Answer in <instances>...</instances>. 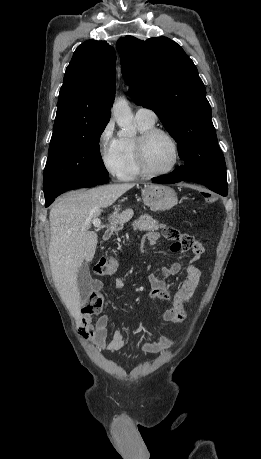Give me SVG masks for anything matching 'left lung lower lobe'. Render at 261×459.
I'll return each instance as SVG.
<instances>
[{
  "label": "left lung lower lobe",
  "instance_id": "left-lung-lower-lobe-1",
  "mask_svg": "<svg viewBox=\"0 0 261 459\" xmlns=\"http://www.w3.org/2000/svg\"><path fill=\"white\" fill-rule=\"evenodd\" d=\"M180 181H192L203 184L222 196H227L228 193L226 171L222 170L203 171L192 176H185L179 170L175 169L169 175L160 176L153 180L154 183L161 184H171Z\"/></svg>",
  "mask_w": 261,
  "mask_h": 459
}]
</instances>
